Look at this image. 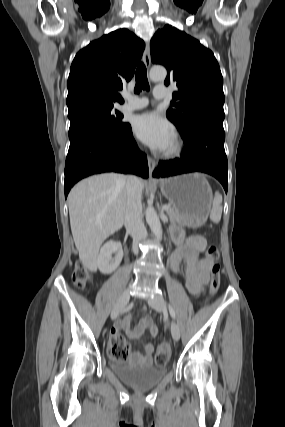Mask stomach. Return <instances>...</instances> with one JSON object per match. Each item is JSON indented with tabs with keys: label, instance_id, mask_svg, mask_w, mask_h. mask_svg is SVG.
<instances>
[{
	"label": "stomach",
	"instance_id": "stomach-1",
	"mask_svg": "<svg viewBox=\"0 0 285 427\" xmlns=\"http://www.w3.org/2000/svg\"><path fill=\"white\" fill-rule=\"evenodd\" d=\"M162 194L184 220V225L198 227L208 218L212 204V189L199 173L185 174L162 180Z\"/></svg>",
	"mask_w": 285,
	"mask_h": 427
}]
</instances>
